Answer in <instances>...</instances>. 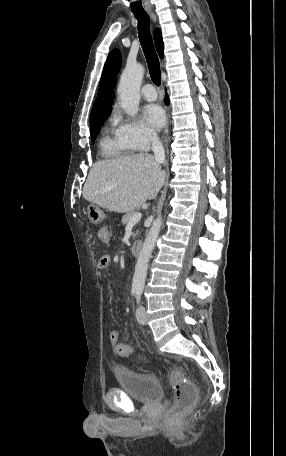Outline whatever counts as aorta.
I'll list each match as a JSON object with an SVG mask.
<instances>
[{"instance_id":"1","label":"aorta","mask_w":286,"mask_h":456,"mask_svg":"<svg viewBox=\"0 0 286 456\" xmlns=\"http://www.w3.org/2000/svg\"><path fill=\"white\" fill-rule=\"evenodd\" d=\"M144 76V67L135 63L127 65L120 77L117 88L119 105L132 118L138 113L140 86ZM162 217H157L141 247L132 279V290L142 291L147 276L148 263L159 236Z\"/></svg>"}]
</instances>
